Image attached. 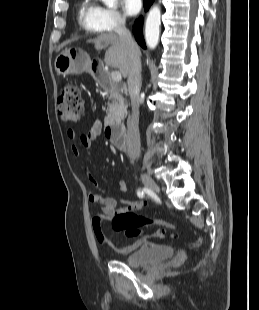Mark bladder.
<instances>
[{"label":"bladder","instance_id":"31cf9c89","mask_svg":"<svg viewBox=\"0 0 259 310\" xmlns=\"http://www.w3.org/2000/svg\"><path fill=\"white\" fill-rule=\"evenodd\" d=\"M173 255L174 249L171 246L146 244L124 257L122 261L129 267H144L170 259Z\"/></svg>","mask_w":259,"mask_h":310}]
</instances>
